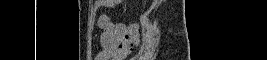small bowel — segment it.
<instances>
[{
  "instance_id": "obj_1",
  "label": "small bowel",
  "mask_w": 267,
  "mask_h": 60,
  "mask_svg": "<svg viewBox=\"0 0 267 60\" xmlns=\"http://www.w3.org/2000/svg\"><path fill=\"white\" fill-rule=\"evenodd\" d=\"M101 29V51L97 60H121L126 58L139 44V31L136 24L113 22L109 16L102 15L98 19Z\"/></svg>"
}]
</instances>
